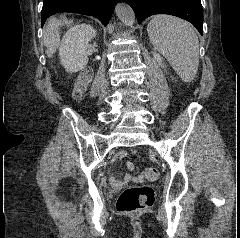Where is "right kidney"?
I'll list each match as a JSON object with an SVG mask.
<instances>
[{
    "label": "right kidney",
    "instance_id": "obj_1",
    "mask_svg": "<svg viewBox=\"0 0 240 238\" xmlns=\"http://www.w3.org/2000/svg\"><path fill=\"white\" fill-rule=\"evenodd\" d=\"M90 25L81 24L71 27L63 36L59 55L61 64L67 72H78L88 63L87 48L89 41L96 37Z\"/></svg>",
    "mask_w": 240,
    "mask_h": 238
}]
</instances>
